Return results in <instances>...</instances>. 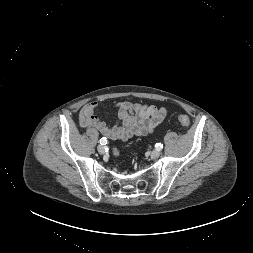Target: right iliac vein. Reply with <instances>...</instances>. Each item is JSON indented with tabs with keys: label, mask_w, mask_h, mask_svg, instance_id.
<instances>
[{
	"label": "right iliac vein",
	"mask_w": 253,
	"mask_h": 253,
	"mask_svg": "<svg viewBox=\"0 0 253 253\" xmlns=\"http://www.w3.org/2000/svg\"><path fill=\"white\" fill-rule=\"evenodd\" d=\"M97 150L100 154H104L105 152V147L103 145H98Z\"/></svg>",
	"instance_id": "right-iliac-vein-1"
}]
</instances>
